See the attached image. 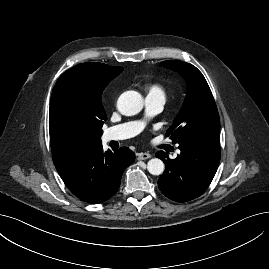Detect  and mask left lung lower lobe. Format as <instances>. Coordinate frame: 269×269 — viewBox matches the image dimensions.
<instances>
[{
	"instance_id": "0a47b994",
	"label": "left lung lower lobe",
	"mask_w": 269,
	"mask_h": 269,
	"mask_svg": "<svg viewBox=\"0 0 269 269\" xmlns=\"http://www.w3.org/2000/svg\"><path fill=\"white\" fill-rule=\"evenodd\" d=\"M179 149L175 160L163 151L156 153L165 163L158 186L169 199L186 202L200 196L211 183L220 162L219 137H198Z\"/></svg>"
}]
</instances>
